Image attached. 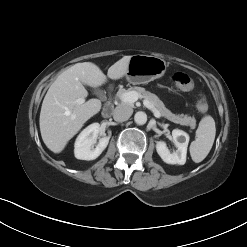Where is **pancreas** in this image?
Returning <instances> with one entry per match:
<instances>
[{
  "label": "pancreas",
  "mask_w": 247,
  "mask_h": 247,
  "mask_svg": "<svg viewBox=\"0 0 247 247\" xmlns=\"http://www.w3.org/2000/svg\"><path fill=\"white\" fill-rule=\"evenodd\" d=\"M135 91L139 94L140 98L146 99L150 104L153 105L155 109L159 111L161 116L167 118L168 120L185 126H190L191 129H194L196 126V119L187 114L175 115L170 110H168L164 103L153 93L146 91L143 87H131L129 89L120 88L117 92V96L121 99V96L125 92Z\"/></svg>",
  "instance_id": "cf45deb5"
}]
</instances>
